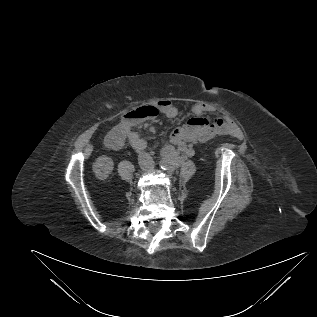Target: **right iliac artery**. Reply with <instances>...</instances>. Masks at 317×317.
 Masks as SVG:
<instances>
[{
	"instance_id": "82829eb1",
	"label": "right iliac artery",
	"mask_w": 317,
	"mask_h": 317,
	"mask_svg": "<svg viewBox=\"0 0 317 317\" xmlns=\"http://www.w3.org/2000/svg\"><path fill=\"white\" fill-rule=\"evenodd\" d=\"M161 168L163 169V163H161Z\"/></svg>"
}]
</instances>
